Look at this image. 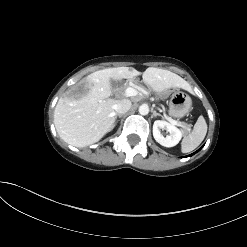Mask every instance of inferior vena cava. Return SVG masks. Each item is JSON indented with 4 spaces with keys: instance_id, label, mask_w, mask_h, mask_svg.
<instances>
[{
    "instance_id": "obj_1",
    "label": "inferior vena cava",
    "mask_w": 247,
    "mask_h": 247,
    "mask_svg": "<svg viewBox=\"0 0 247 247\" xmlns=\"http://www.w3.org/2000/svg\"><path fill=\"white\" fill-rule=\"evenodd\" d=\"M131 108V101L128 99H122L117 102L115 105V111L118 114H125Z\"/></svg>"
}]
</instances>
